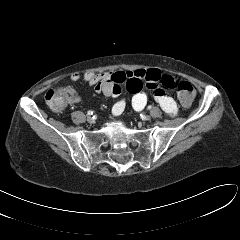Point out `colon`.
I'll use <instances>...</instances> for the list:
<instances>
[{"instance_id":"obj_1","label":"colon","mask_w":240,"mask_h":240,"mask_svg":"<svg viewBox=\"0 0 240 240\" xmlns=\"http://www.w3.org/2000/svg\"><path fill=\"white\" fill-rule=\"evenodd\" d=\"M174 88L181 103L185 106L190 105L195 96L192 84L187 81H177ZM45 100L52 111L61 112L68 104L69 92L66 88L51 89L46 93Z\"/></svg>"}]
</instances>
